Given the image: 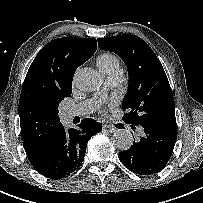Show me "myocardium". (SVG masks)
Masks as SVG:
<instances>
[{
	"label": "myocardium",
	"mask_w": 203,
	"mask_h": 203,
	"mask_svg": "<svg viewBox=\"0 0 203 203\" xmlns=\"http://www.w3.org/2000/svg\"><path fill=\"white\" fill-rule=\"evenodd\" d=\"M114 79L117 80V81H119L120 78H119L118 76H116V77H114Z\"/></svg>",
	"instance_id": "f54148a6"
}]
</instances>
